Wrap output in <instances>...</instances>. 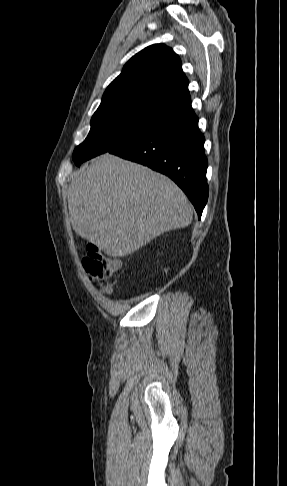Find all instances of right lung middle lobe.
I'll use <instances>...</instances> for the list:
<instances>
[{"mask_svg": "<svg viewBox=\"0 0 287 486\" xmlns=\"http://www.w3.org/2000/svg\"><path fill=\"white\" fill-rule=\"evenodd\" d=\"M169 113L167 109L149 104L101 106L91 119L87 138L75 148L73 161L80 166L90 158L124 145Z\"/></svg>", "mask_w": 287, "mask_h": 486, "instance_id": "obj_1", "label": "right lung middle lobe"}]
</instances>
